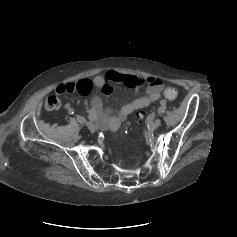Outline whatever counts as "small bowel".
I'll list each match as a JSON object with an SVG mask.
<instances>
[{
  "instance_id": "1",
  "label": "small bowel",
  "mask_w": 237,
  "mask_h": 237,
  "mask_svg": "<svg viewBox=\"0 0 237 237\" xmlns=\"http://www.w3.org/2000/svg\"><path fill=\"white\" fill-rule=\"evenodd\" d=\"M120 83L130 88L137 89L141 85H146V94L130 103L123 105L114 115H109V111L103 109V103L98 95H94L91 100L89 115L92 119L99 120L111 130H116L133 111L144 108L157 101L163 88V82L157 77L139 78L130 74H122L116 71H108L105 75L95 76L92 79L84 78L76 82L60 84L55 88L58 95L68 93H80L88 95L93 89H99L104 95H111L113 92L112 84ZM70 104L66 103L65 108Z\"/></svg>"
}]
</instances>
